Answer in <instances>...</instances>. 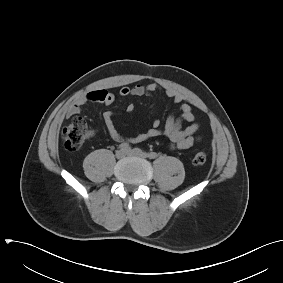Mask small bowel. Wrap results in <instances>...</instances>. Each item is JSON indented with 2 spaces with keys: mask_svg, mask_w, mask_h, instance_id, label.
<instances>
[{
  "mask_svg": "<svg viewBox=\"0 0 283 283\" xmlns=\"http://www.w3.org/2000/svg\"><path fill=\"white\" fill-rule=\"evenodd\" d=\"M160 90L161 87L156 83H140L132 87H122L119 94L122 97L143 96L152 95ZM164 92L166 96L173 101V103L179 106V116L170 115L167 118L163 128L161 127V121L156 119L153 121L151 129L145 133H141L135 137L126 139L116 129L112 120V112L106 111L103 114V120L110 137L117 142L129 141L132 143H140L159 136H165L173 148L188 149L193 146V144L199 140V137L196 135L197 131L199 130V124L195 120V114L192 107L185 103L183 97L174 90L168 89ZM114 101L115 95L113 93L106 90H94L88 92L73 102L68 107L66 116L71 117L78 114L82 107L88 102H98L105 105H111ZM126 110L127 112L132 113L135 110V106L130 103L128 104ZM183 121L189 123V125L185 128H182Z\"/></svg>",
  "mask_w": 283,
  "mask_h": 283,
  "instance_id": "obj_1",
  "label": "small bowel"
}]
</instances>
